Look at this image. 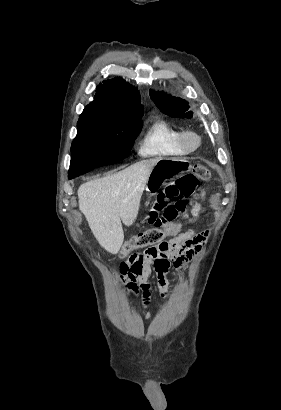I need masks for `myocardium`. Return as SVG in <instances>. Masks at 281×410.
Masks as SVG:
<instances>
[{"instance_id":"obj_1","label":"myocardium","mask_w":281,"mask_h":410,"mask_svg":"<svg viewBox=\"0 0 281 410\" xmlns=\"http://www.w3.org/2000/svg\"><path fill=\"white\" fill-rule=\"evenodd\" d=\"M181 145L186 152H195L202 145V137L196 131L184 130L181 133Z\"/></svg>"}]
</instances>
